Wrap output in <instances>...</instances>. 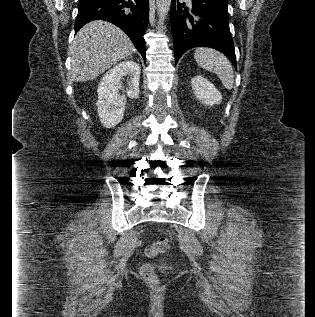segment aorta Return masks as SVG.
Listing matches in <instances>:
<instances>
[{
	"mask_svg": "<svg viewBox=\"0 0 315 317\" xmlns=\"http://www.w3.org/2000/svg\"><path fill=\"white\" fill-rule=\"evenodd\" d=\"M160 22H163L171 6V0H156Z\"/></svg>",
	"mask_w": 315,
	"mask_h": 317,
	"instance_id": "aorta-1",
	"label": "aorta"
}]
</instances>
